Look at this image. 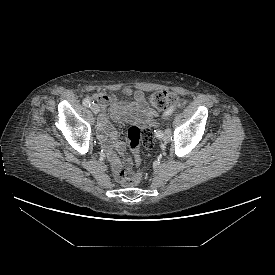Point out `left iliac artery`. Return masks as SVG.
<instances>
[{
    "label": "left iliac artery",
    "instance_id": "44dca946",
    "mask_svg": "<svg viewBox=\"0 0 275 275\" xmlns=\"http://www.w3.org/2000/svg\"><path fill=\"white\" fill-rule=\"evenodd\" d=\"M175 111V107H170L169 109H167L165 112H164V117H168V116H170L173 112ZM156 133V137H158V138H162L163 137V135H164V133H163V131H161V130H156L155 131Z\"/></svg>",
    "mask_w": 275,
    "mask_h": 275
}]
</instances>
